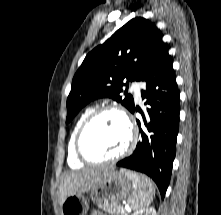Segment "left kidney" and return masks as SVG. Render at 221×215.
Segmentation results:
<instances>
[{
    "mask_svg": "<svg viewBox=\"0 0 221 215\" xmlns=\"http://www.w3.org/2000/svg\"><path fill=\"white\" fill-rule=\"evenodd\" d=\"M132 215H156V210L153 207H147L134 212Z\"/></svg>",
    "mask_w": 221,
    "mask_h": 215,
    "instance_id": "left-kidney-1",
    "label": "left kidney"
}]
</instances>
